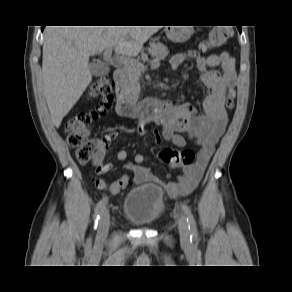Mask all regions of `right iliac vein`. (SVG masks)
Masks as SVG:
<instances>
[{
	"mask_svg": "<svg viewBox=\"0 0 292 292\" xmlns=\"http://www.w3.org/2000/svg\"><path fill=\"white\" fill-rule=\"evenodd\" d=\"M109 225H110V217L108 210H104L101 214L98 231H97V239L99 241H103L109 231Z\"/></svg>",
	"mask_w": 292,
	"mask_h": 292,
	"instance_id": "obj_1",
	"label": "right iliac vein"
}]
</instances>
